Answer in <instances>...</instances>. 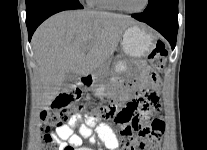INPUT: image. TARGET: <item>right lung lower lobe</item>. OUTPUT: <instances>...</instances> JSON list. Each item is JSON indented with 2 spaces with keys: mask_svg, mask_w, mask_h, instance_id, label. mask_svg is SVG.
I'll return each instance as SVG.
<instances>
[{
  "mask_svg": "<svg viewBox=\"0 0 207 150\" xmlns=\"http://www.w3.org/2000/svg\"><path fill=\"white\" fill-rule=\"evenodd\" d=\"M83 6L76 0H43L26 9V25L29 41L36 28L51 15L70 9H82Z\"/></svg>",
  "mask_w": 207,
  "mask_h": 150,
  "instance_id": "right-lung-lower-lobe-1",
  "label": "right lung lower lobe"
}]
</instances>
